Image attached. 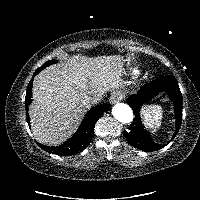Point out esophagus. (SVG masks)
<instances>
[{
    "label": "esophagus",
    "instance_id": "1",
    "mask_svg": "<svg viewBox=\"0 0 200 200\" xmlns=\"http://www.w3.org/2000/svg\"><path fill=\"white\" fill-rule=\"evenodd\" d=\"M123 96H124L123 92L118 91V90L113 91L111 93V96H110V103L111 104L117 103L118 101H120L121 99H123Z\"/></svg>",
    "mask_w": 200,
    "mask_h": 200
}]
</instances>
